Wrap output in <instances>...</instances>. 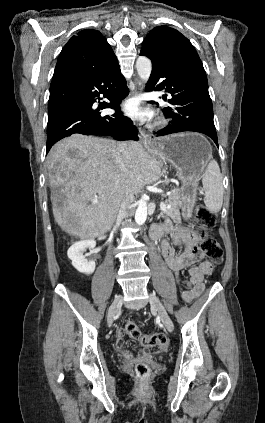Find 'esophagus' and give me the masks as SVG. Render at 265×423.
<instances>
[{
    "mask_svg": "<svg viewBox=\"0 0 265 423\" xmlns=\"http://www.w3.org/2000/svg\"><path fill=\"white\" fill-rule=\"evenodd\" d=\"M142 82L140 79H136L135 81V88L133 90H131L130 92V96H134V95H138L142 92ZM138 136L140 138V141L146 146H151L152 145V140L151 138L145 134L140 128H138Z\"/></svg>",
    "mask_w": 265,
    "mask_h": 423,
    "instance_id": "34e87169",
    "label": "esophagus"
}]
</instances>
